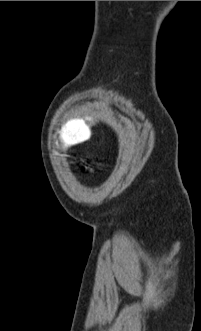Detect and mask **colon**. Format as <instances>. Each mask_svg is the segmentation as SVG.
I'll use <instances>...</instances> for the list:
<instances>
[{
    "instance_id": "5ec220e1",
    "label": "colon",
    "mask_w": 201,
    "mask_h": 331,
    "mask_svg": "<svg viewBox=\"0 0 201 331\" xmlns=\"http://www.w3.org/2000/svg\"><path fill=\"white\" fill-rule=\"evenodd\" d=\"M92 121L86 118H69L60 127V137L66 145H77L90 138Z\"/></svg>"
}]
</instances>
